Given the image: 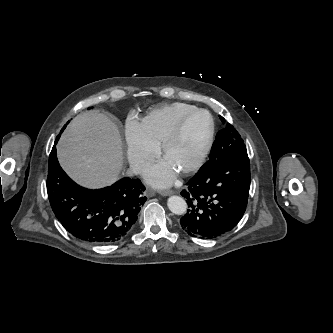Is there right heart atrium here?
Returning <instances> with one entry per match:
<instances>
[{
    "label": "right heart atrium",
    "mask_w": 333,
    "mask_h": 333,
    "mask_svg": "<svg viewBox=\"0 0 333 333\" xmlns=\"http://www.w3.org/2000/svg\"><path fill=\"white\" fill-rule=\"evenodd\" d=\"M124 137L130 167L140 173L154 161L159 148L147 137L142 123L131 117L125 122Z\"/></svg>",
    "instance_id": "1"
}]
</instances>
